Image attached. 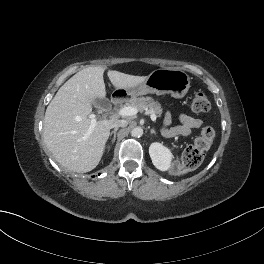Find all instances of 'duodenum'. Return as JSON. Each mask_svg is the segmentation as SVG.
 I'll use <instances>...</instances> for the list:
<instances>
[{
    "mask_svg": "<svg viewBox=\"0 0 264 264\" xmlns=\"http://www.w3.org/2000/svg\"><path fill=\"white\" fill-rule=\"evenodd\" d=\"M123 97H124V94H123V93H117V94H115V95L113 96V98H112V102H113L114 104H117V103H119V102L123 99Z\"/></svg>",
    "mask_w": 264,
    "mask_h": 264,
    "instance_id": "duodenum-1",
    "label": "duodenum"
}]
</instances>
